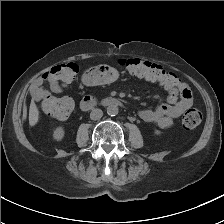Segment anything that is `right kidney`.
<instances>
[{
  "instance_id": "right-kidney-1",
  "label": "right kidney",
  "mask_w": 224,
  "mask_h": 224,
  "mask_svg": "<svg viewBox=\"0 0 224 224\" xmlns=\"http://www.w3.org/2000/svg\"><path fill=\"white\" fill-rule=\"evenodd\" d=\"M63 137H64V130H63V128L62 127L56 128V130L53 133V138L56 141H61Z\"/></svg>"
}]
</instances>
